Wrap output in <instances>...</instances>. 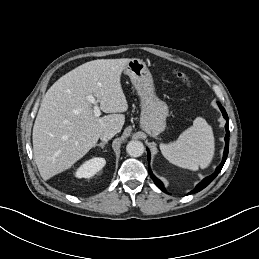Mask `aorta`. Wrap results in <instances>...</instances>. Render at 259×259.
I'll use <instances>...</instances> for the list:
<instances>
[{
    "mask_svg": "<svg viewBox=\"0 0 259 259\" xmlns=\"http://www.w3.org/2000/svg\"><path fill=\"white\" fill-rule=\"evenodd\" d=\"M126 151L131 157H140L144 153V145L140 141L132 140L127 144Z\"/></svg>",
    "mask_w": 259,
    "mask_h": 259,
    "instance_id": "1",
    "label": "aorta"
}]
</instances>
